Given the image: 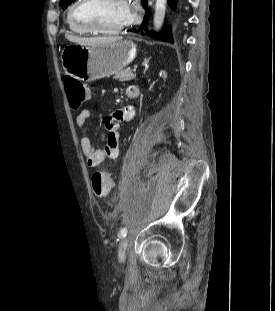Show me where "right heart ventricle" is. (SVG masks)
Listing matches in <instances>:
<instances>
[{
	"label": "right heart ventricle",
	"mask_w": 275,
	"mask_h": 311,
	"mask_svg": "<svg viewBox=\"0 0 275 311\" xmlns=\"http://www.w3.org/2000/svg\"><path fill=\"white\" fill-rule=\"evenodd\" d=\"M67 25H68L70 31H72V32H74V33H76V34H82V35H84V34H88V33H89V32L86 31L85 29H83V28H81V27H79V26H77V25H75V24H73V23L71 22L70 16H69V12H68V14H67Z\"/></svg>",
	"instance_id": "obj_1"
}]
</instances>
